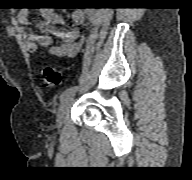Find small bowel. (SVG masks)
Instances as JSON below:
<instances>
[{
    "instance_id": "small-bowel-1",
    "label": "small bowel",
    "mask_w": 192,
    "mask_h": 180,
    "mask_svg": "<svg viewBox=\"0 0 192 180\" xmlns=\"http://www.w3.org/2000/svg\"><path fill=\"white\" fill-rule=\"evenodd\" d=\"M41 14L43 21L37 24L41 33H32L22 29L27 50L34 53L39 48H48L50 55L55 57L77 56L84 44V37L80 32L76 28L71 30L61 28L64 25L63 18L50 8L42 9ZM95 15L93 9H75L72 13V24L73 26L84 25L86 21H93ZM28 16V10L22 9L17 15L18 23L22 26L28 25ZM53 37L58 40L56 44L53 43Z\"/></svg>"
}]
</instances>
